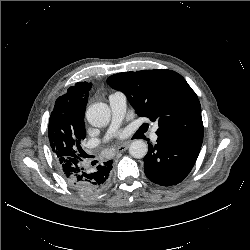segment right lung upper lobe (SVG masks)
<instances>
[{
    "mask_svg": "<svg viewBox=\"0 0 250 250\" xmlns=\"http://www.w3.org/2000/svg\"><path fill=\"white\" fill-rule=\"evenodd\" d=\"M91 87L92 84L88 82H78L69 87L67 93L56 100L49 127L70 134L85 127L84 113Z\"/></svg>",
    "mask_w": 250,
    "mask_h": 250,
    "instance_id": "cb5924a9",
    "label": "right lung upper lobe"
}]
</instances>
